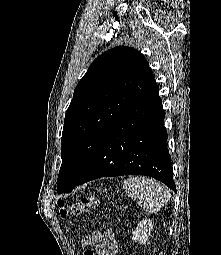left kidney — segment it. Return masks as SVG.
<instances>
[{"label":"left kidney","mask_w":221,"mask_h":255,"mask_svg":"<svg viewBox=\"0 0 221 255\" xmlns=\"http://www.w3.org/2000/svg\"><path fill=\"white\" fill-rule=\"evenodd\" d=\"M152 229V220L143 219L137 224L136 229L133 231L132 240L140 244H146Z\"/></svg>","instance_id":"obj_1"}]
</instances>
